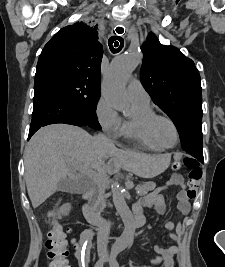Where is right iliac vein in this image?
Returning a JSON list of instances; mask_svg holds the SVG:
<instances>
[{"label":"right iliac vein","instance_id":"right-iliac-vein-1","mask_svg":"<svg viewBox=\"0 0 225 267\" xmlns=\"http://www.w3.org/2000/svg\"><path fill=\"white\" fill-rule=\"evenodd\" d=\"M102 255H103V252L99 253V258L100 259H101Z\"/></svg>","mask_w":225,"mask_h":267}]
</instances>
